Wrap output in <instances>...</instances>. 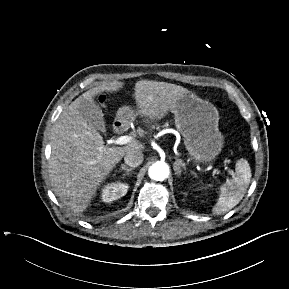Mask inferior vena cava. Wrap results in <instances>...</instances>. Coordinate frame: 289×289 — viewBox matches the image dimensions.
I'll return each mask as SVG.
<instances>
[{"label":"inferior vena cava","mask_w":289,"mask_h":289,"mask_svg":"<svg viewBox=\"0 0 289 289\" xmlns=\"http://www.w3.org/2000/svg\"><path fill=\"white\" fill-rule=\"evenodd\" d=\"M143 159H144V155L142 151H138V150L128 152L124 157L125 163L130 167L139 166L143 162Z\"/></svg>","instance_id":"1"}]
</instances>
